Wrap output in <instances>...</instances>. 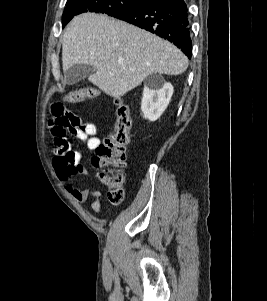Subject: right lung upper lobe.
<instances>
[{
    "mask_svg": "<svg viewBox=\"0 0 267 301\" xmlns=\"http://www.w3.org/2000/svg\"><path fill=\"white\" fill-rule=\"evenodd\" d=\"M142 1H144V3H145V2H147V1H149V0H142Z\"/></svg>",
    "mask_w": 267,
    "mask_h": 301,
    "instance_id": "1",
    "label": "right lung upper lobe"
}]
</instances>
